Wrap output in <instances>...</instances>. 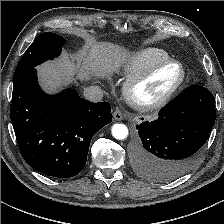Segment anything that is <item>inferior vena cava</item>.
Wrapping results in <instances>:
<instances>
[{
	"mask_svg": "<svg viewBox=\"0 0 224 224\" xmlns=\"http://www.w3.org/2000/svg\"><path fill=\"white\" fill-rule=\"evenodd\" d=\"M83 94L91 102H99L103 98V91L99 86H89L84 89Z\"/></svg>",
	"mask_w": 224,
	"mask_h": 224,
	"instance_id": "obj_1",
	"label": "inferior vena cava"
}]
</instances>
